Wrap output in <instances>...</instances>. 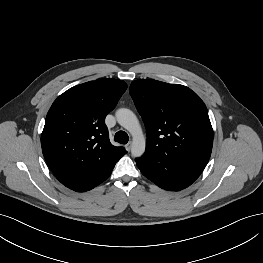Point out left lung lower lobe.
Instances as JSON below:
<instances>
[{
  "instance_id": "left-lung-lower-lobe-1",
  "label": "left lung lower lobe",
  "mask_w": 263,
  "mask_h": 263,
  "mask_svg": "<svg viewBox=\"0 0 263 263\" xmlns=\"http://www.w3.org/2000/svg\"><path fill=\"white\" fill-rule=\"evenodd\" d=\"M136 164L145 177L159 187L170 191L187 188L203 170L176 158L148 154L136 159Z\"/></svg>"
}]
</instances>
